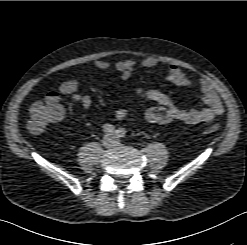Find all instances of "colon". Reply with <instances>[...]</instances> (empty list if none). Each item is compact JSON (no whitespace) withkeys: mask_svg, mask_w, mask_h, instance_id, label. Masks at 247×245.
<instances>
[{"mask_svg":"<svg viewBox=\"0 0 247 245\" xmlns=\"http://www.w3.org/2000/svg\"><path fill=\"white\" fill-rule=\"evenodd\" d=\"M63 112L56 104L46 102H36L29 109V120L27 127L30 132L39 134L43 132L50 124L62 119ZM220 129V124L214 123L206 126L204 132L207 134L216 133Z\"/></svg>","mask_w":247,"mask_h":245,"instance_id":"1","label":"colon"}]
</instances>
